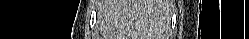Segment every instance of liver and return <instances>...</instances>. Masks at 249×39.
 I'll list each match as a JSON object with an SVG mask.
<instances>
[{
    "label": "liver",
    "mask_w": 249,
    "mask_h": 39,
    "mask_svg": "<svg viewBox=\"0 0 249 39\" xmlns=\"http://www.w3.org/2000/svg\"><path fill=\"white\" fill-rule=\"evenodd\" d=\"M170 5L169 0H105L100 6L103 35L108 39H164Z\"/></svg>",
    "instance_id": "obj_1"
}]
</instances>
